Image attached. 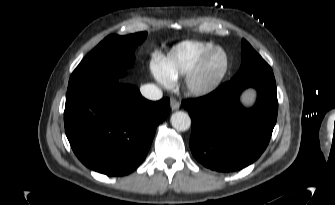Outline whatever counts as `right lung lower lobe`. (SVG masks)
I'll return each instance as SVG.
<instances>
[{
    "label": "right lung lower lobe",
    "mask_w": 335,
    "mask_h": 205,
    "mask_svg": "<svg viewBox=\"0 0 335 205\" xmlns=\"http://www.w3.org/2000/svg\"><path fill=\"white\" fill-rule=\"evenodd\" d=\"M118 76L103 74L68 87L65 133L79 160L108 176L134 171L146 157L170 101H149Z\"/></svg>",
    "instance_id": "1"
}]
</instances>
